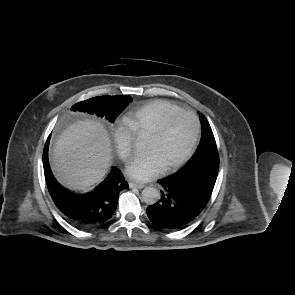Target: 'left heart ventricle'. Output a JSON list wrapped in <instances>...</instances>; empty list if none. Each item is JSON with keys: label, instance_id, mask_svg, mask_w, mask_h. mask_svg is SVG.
<instances>
[{"label": "left heart ventricle", "instance_id": "obj_1", "mask_svg": "<svg viewBox=\"0 0 295 295\" xmlns=\"http://www.w3.org/2000/svg\"><path fill=\"white\" fill-rule=\"evenodd\" d=\"M195 132V123L189 115H179L167 125L158 139L148 138L145 151L154 153L163 167L180 159L189 149Z\"/></svg>", "mask_w": 295, "mask_h": 295}]
</instances>
